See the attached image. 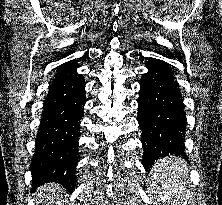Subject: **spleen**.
Here are the masks:
<instances>
[{"mask_svg":"<svg viewBox=\"0 0 222 205\" xmlns=\"http://www.w3.org/2000/svg\"><path fill=\"white\" fill-rule=\"evenodd\" d=\"M184 160L167 157L158 161L150 172L149 186L157 205H187L191 186Z\"/></svg>","mask_w":222,"mask_h":205,"instance_id":"obj_1","label":"spleen"}]
</instances>
